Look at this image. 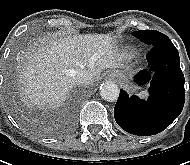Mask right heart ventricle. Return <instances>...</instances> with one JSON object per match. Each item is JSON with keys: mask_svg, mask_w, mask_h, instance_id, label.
<instances>
[{"mask_svg": "<svg viewBox=\"0 0 190 165\" xmlns=\"http://www.w3.org/2000/svg\"><path fill=\"white\" fill-rule=\"evenodd\" d=\"M132 52H133V50H132L131 48L127 47V48L125 49V51H124V54L127 55V56H129V55L132 54Z\"/></svg>", "mask_w": 190, "mask_h": 165, "instance_id": "1", "label": "right heart ventricle"}]
</instances>
